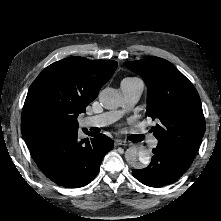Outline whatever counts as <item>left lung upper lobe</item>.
Instances as JSON below:
<instances>
[{
    "label": "left lung upper lobe",
    "mask_w": 221,
    "mask_h": 221,
    "mask_svg": "<svg viewBox=\"0 0 221 221\" xmlns=\"http://www.w3.org/2000/svg\"><path fill=\"white\" fill-rule=\"evenodd\" d=\"M124 65L140 75L148 88L146 115L158 145L192 162L205 132L200 97L192 83L169 61L149 57Z\"/></svg>",
    "instance_id": "5c2ea615"
}]
</instances>
